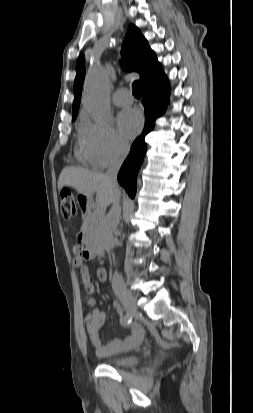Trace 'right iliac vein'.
<instances>
[{
	"mask_svg": "<svg viewBox=\"0 0 253 413\" xmlns=\"http://www.w3.org/2000/svg\"><path fill=\"white\" fill-rule=\"evenodd\" d=\"M119 299L126 309V311L130 314L133 315L137 312V304H136V299L134 296L128 292H124L119 295Z\"/></svg>",
	"mask_w": 253,
	"mask_h": 413,
	"instance_id": "1",
	"label": "right iliac vein"
}]
</instances>
